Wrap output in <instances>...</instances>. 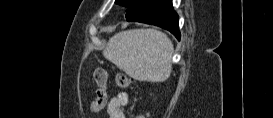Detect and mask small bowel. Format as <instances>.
I'll return each mask as SVG.
<instances>
[{
  "label": "small bowel",
  "instance_id": "c3829d8e",
  "mask_svg": "<svg viewBox=\"0 0 273 118\" xmlns=\"http://www.w3.org/2000/svg\"><path fill=\"white\" fill-rule=\"evenodd\" d=\"M128 102L126 93H119L108 103L107 112L110 118H124V108Z\"/></svg>",
  "mask_w": 273,
  "mask_h": 118
}]
</instances>
